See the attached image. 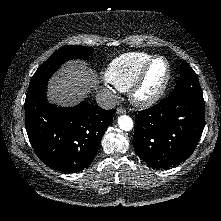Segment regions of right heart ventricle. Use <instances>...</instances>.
Masks as SVG:
<instances>
[{
    "mask_svg": "<svg viewBox=\"0 0 221 221\" xmlns=\"http://www.w3.org/2000/svg\"><path fill=\"white\" fill-rule=\"evenodd\" d=\"M152 57L144 52L125 53L111 61L105 70V79L118 90L126 92Z\"/></svg>",
    "mask_w": 221,
    "mask_h": 221,
    "instance_id": "e07e8e85",
    "label": "right heart ventricle"
}]
</instances>
